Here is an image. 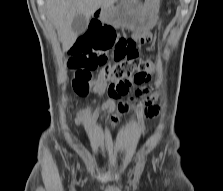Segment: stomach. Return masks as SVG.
<instances>
[{
    "label": "stomach",
    "mask_w": 223,
    "mask_h": 191,
    "mask_svg": "<svg viewBox=\"0 0 223 191\" xmlns=\"http://www.w3.org/2000/svg\"><path fill=\"white\" fill-rule=\"evenodd\" d=\"M160 0H121L113 8H102L98 17L114 27L143 32L153 27L157 20Z\"/></svg>",
    "instance_id": "stomach-1"
}]
</instances>
